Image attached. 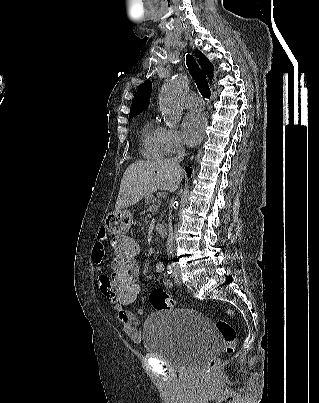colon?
<instances>
[{"mask_svg":"<svg viewBox=\"0 0 319 403\" xmlns=\"http://www.w3.org/2000/svg\"><path fill=\"white\" fill-rule=\"evenodd\" d=\"M107 231V230H106ZM113 251L111 253V273H113V299L117 304H131L130 312H139V296L136 291L140 290V283L134 278L133 268L140 267L138 254L141 253V241L139 234H113ZM150 304L154 309L168 310L174 307L173 298L161 288L154 289L149 295ZM225 313L232 317L231 310ZM217 330L223 339L224 350L232 353L236 346V332L233 326L226 320L220 319L216 323ZM220 366L219 359H212L203 374L205 379L215 372Z\"/></svg>","mask_w":319,"mask_h":403,"instance_id":"1","label":"colon"}]
</instances>
